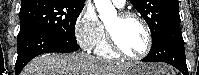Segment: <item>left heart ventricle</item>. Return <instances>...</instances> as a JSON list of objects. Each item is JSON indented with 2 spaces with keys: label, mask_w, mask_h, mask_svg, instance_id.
I'll use <instances>...</instances> for the list:
<instances>
[{
  "label": "left heart ventricle",
  "mask_w": 199,
  "mask_h": 75,
  "mask_svg": "<svg viewBox=\"0 0 199 75\" xmlns=\"http://www.w3.org/2000/svg\"><path fill=\"white\" fill-rule=\"evenodd\" d=\"M107 28L127 54L138 55L144 51L146 36L138 21L134 19L121 20L117 15L107 23Z\"/></svg>",
  "instance_id": "obj_1"
}]
</instances>
